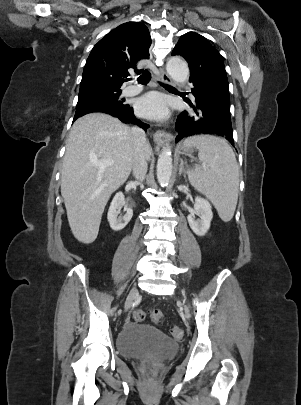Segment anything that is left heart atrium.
Returning <instances> with one entry per match:
<instances>
[{
    "mask_svg": "<svg viewBox=\"0 0 301 405\" xmlns=\"http://www.w3.org/2000/svg\"><path fill=\"white\" fill-rule=\"evenodd\" d=\"M136 112L148 119L161 120L168 115V103L162 95L155 92L148 93L137 101Z\"/></svg>",
    "mask_w": 301,
    "mask_h": 405,
    "instance_id": "1",
    "label": "left heart atrium"
}]
</instances>
